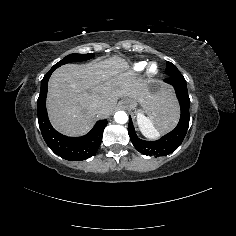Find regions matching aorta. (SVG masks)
<instances>
[{"mask_svg":"<svg viewBox=\"0 0 236 236\" xmlns=\"http://www.w3.org/2000/svg\"><path fill=\"white\" fill-rule=\"evenodd\" d=\"M114 120L117 122V123H120V124H124L128 121V115L126 114L125 111H117L115 114H114Z\"/></svg>","mask_w":236,"mask_h":236,"instance_id":"762f6f07","label":"aorta"}]
</instances>
